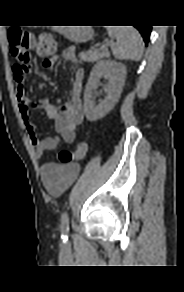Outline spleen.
<instances>
[{
	"label": "spleen",
	"mask_w": 184,
	"mask_h": 292,
	"mask_svg": "<svg viewBox=\"0 0 184 292\" xmlns=\"http://www.w3.org/2000/svg\"><path fill=\"white\" fill-rule=\"evenodd\" d=\"M108 35L115 39L111 50L118 60L139 61L143 53V42L140 33L132 26L108 27Z\"/></svg>",
	"instance_id": "spleen-1"
}]
</instances>
